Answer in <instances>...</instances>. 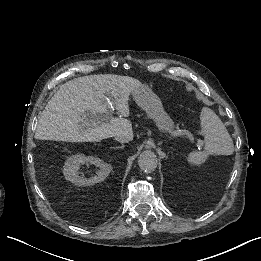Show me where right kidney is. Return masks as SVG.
I'll list each match as a JSON object with an SVG mask.
<instances>
[{"label":"right kidney","mask_w":261,"mask_h":261,"mask_svg":"<svg viewBox=\"0 0 261 261\" xmlns=\"http://www.w3.org/2000/svg\"><path fill=\"white\" fill-rule=\"evenodd\" d=\"M92 164L99 167L100 170L96 172V176L91 178H83L78 175V169L82 164ZM111 166L99 158L84 155H75L67 159L64 167L65 179L77 186H92L96 183L102 182L109 175Z\"/></svg>","instance_id":"obj_1"}]
</instances>
